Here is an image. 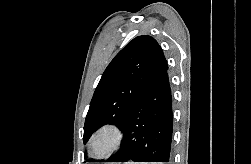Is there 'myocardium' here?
<instances>
[{"label":"myocardium","instance_id":"f54148a6","mask_svg":"<svg viewBox=\"0 0 251 164\" xmlns=\"http://www.w3.org/2000/svg\"><path fill=\"white\" fill-rule=\"evenodd\" d=\"M124 139L125 132L120 125L105 123L92 134L89 151L96 158H106L121 148Z\"/></svg>","mask_w":251,"mask_h":164}]
</instances>
